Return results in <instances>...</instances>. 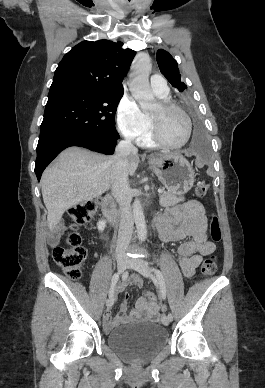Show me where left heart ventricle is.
<instances>
[{"instance_id":"1","label":"left heart ventricle","mask_w":265,"mask_h":388,"mask_svg":"<svg viewBox=\"0 0 265 388\" xmlns=\"http://www.w3.org/2000/svg\"><path fill=\"white\" fill-rule=\"evenodd\" d=\"M150 91H154L150 87ZM156 98V97H155ZM162 137L171 144H178L184 138V119L175 110H163L160 105L152 111Z\"/></svg>"}]
</instances>
